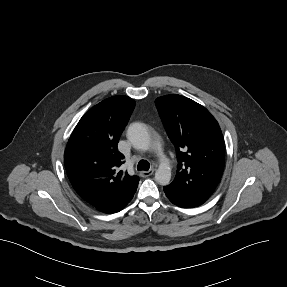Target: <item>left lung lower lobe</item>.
I'll return each mask as SVG.
<instances>
[{
	"label": "left lung lower lobe",
	"instance_id": "left-lung-lower-lobe-1",
	"mask_svg": "<svg viewBox=\"0 0 287 287\" xmlns=\"http://www.w3.org/2000/svg\"><path fill=\"white\" fill-rule=\"evenodd\" d=\"M164 192L173 204L182 208L196 207L207 200L169 186L164 187Z\"/></svg>",
	"mask_w": 287,
	"mask_h": 287
}]
</instances>
